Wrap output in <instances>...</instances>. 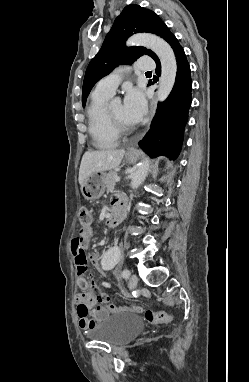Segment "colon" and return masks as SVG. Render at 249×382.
<instances>
[{
    "label": "colon",
    "instance_id": "obj_1",
    "mask_svg": "<svg viewBox=\"0 0 249 382\" xmlns=\"http://www.w3.org/2000/svg\"><path fill=\"white\" fill-rule=\"evenodd\" d=\"M78 219L79 223L82 227V229L89 228L92 222V212L87 207H81L78 212ZM75 250H80V255H73L74 260L77 266V271L80 275L76 276L77 282H84L85 281V274L88 271V257H87V250L85 248H76ZM73 251V250H72ZM96 278L95 272H89L87 276L88 282H94ZM91 292L95 298V300L105 307H107L112 312H118L123 309H129L132 311H135L141 315H143L144 319L151 324L156 323H170L172 322L173 318L170 314L166 312H154L148 309H145L141 306H135V305H118L111 302L110 297L99 291V289L96 287L95 284H91Z\"/></svg>",
    "mask_w": 249,
    "mask_h": 382
}]
</instances>
